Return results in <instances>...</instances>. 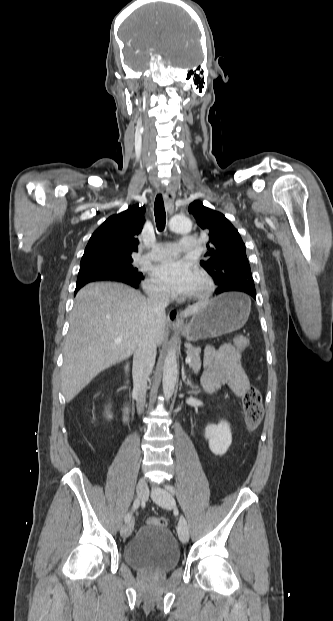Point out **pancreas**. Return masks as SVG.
I'll use <instances>...</instances> for the list:
<instances>
[{
  "mask_svg": "<svg viewBox=\"0 0 333 621\" xmlns=\"http://www.w3.org/2000/svg\"><path fill=\"white\" fill-rule=\"evenodd\" d=\"M187 348V355L191 357V362L189 363V367L194 372H199L201 369V359H200V347H193L190 344H185Z\"/></svg>",
  "mask_w": 333,
  "mask_h": 621,
  "instance_id": "cf45deb5",
  "label": "pancreas"
}]
</instances>
